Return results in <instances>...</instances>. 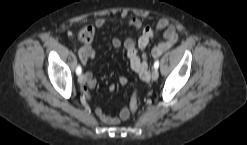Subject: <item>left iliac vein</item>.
<instances>
[{
  "instance_id": "obj_1",
  "label": "left iliac vein",
  "mask_w": 247,
  "mask_h": 145,
  "mask_svg": "<svg viewBox=\"0 0 247 145\" xmlns=\"http://www.w3.org/2000/svg\"><path fill=\"white\" fill-rule=\"evenodd\" d=\"M158 77H159V72H158L157 69L154 68L153 71H152L151 78H152L153 81H156L158 79Z\"/></svg>"
}]
</instances>
